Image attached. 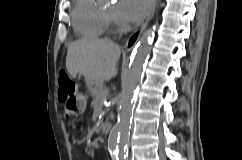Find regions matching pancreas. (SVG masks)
Returning a JSON list of instances; mask_svg holds the SVG:
<instances>
[{
	"label": "pancreas",
	"instance_id": "cf45deb5",
	"mask_svg": "<svg viewBox=\"0 0 242 160\" xmlns=\"http://www.w3.org/2000/svg\"><path fill=\"white\" fill-rule=\"evenodd\" d=\"M108 89H102L93 99L91 107L94 109H101L103 100L107 97Z\"/></svg>",
	"mask_w": 242,
	"mask_h": 160
}]
</instances>
